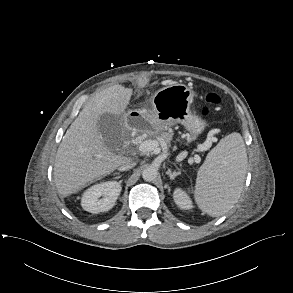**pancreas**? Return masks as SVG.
Returning <instances> with one entry per match:
<instances>
[{
	"instance_id": "pancreas-1",
	"label": "pancreas",
	"mask_w": 293,
	"mask_h": 293,
	"mask_svg": "<svg viewBox=\"0 0 293 293\" xmlns=\"http://www.w3.org/2000/svg\"><path fill=\"white\" fill-rule=\"evenodd\" d=\"M149 135H154V136H156L157 134H153V133H148ZM160 137L162 138V139H164V141H166V142H169L170 141V134L169 133H167V132H162L161 134H160Z\"/></svg>"
}]
</instances>
